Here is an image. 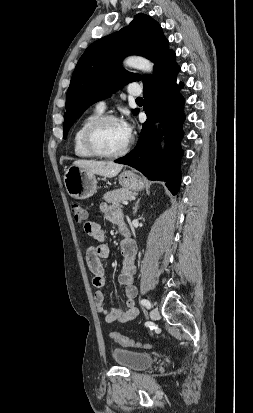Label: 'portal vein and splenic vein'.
Segmentation results:
<instances>
[{
    "label": "portal vein and splenic vein",
    "instance_id": "18ae733b",
    "mask_svg": "<svg viewBox=\"0 0 253 413\" xmlns=\"http://www.w3.org/2000/svg\"><path fill=\"white\" fill-rule=\"evenodd\" d=\"M122 203H123V205H128V201H127V200H124Z\"/></svg>",
    "mask_w": 253,
    "mask_h": 413
}]
</instances>
